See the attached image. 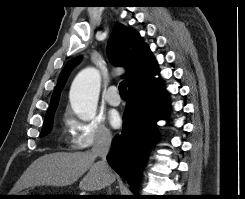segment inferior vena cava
<instances>
[{
    "label": "inferior vena cava",
    "mask_w": 245,
    "mask_h": 199,
    "mask_svg": "<svg viewBox=\"0 0 245 199\" xmlns=\"http://www.w3.org/2000/svg\"><path fill=\"white\" fill-rule=\"evenodd\" d=\"M112 142V135L109 131L103 130L97 133L95 143L92 147V154L96 157H100L101 161L98 162L102 168L105 176L109 174L110 168L108 166L106 156L110 150Z\"/></svg>",
    "instance_id": "1"
}]
</instances>
